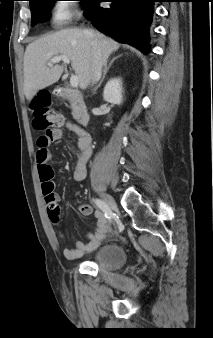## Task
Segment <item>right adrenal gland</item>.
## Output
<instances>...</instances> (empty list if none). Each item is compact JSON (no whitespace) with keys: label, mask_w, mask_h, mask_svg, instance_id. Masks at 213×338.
I'll use <instances>...</instances> for the list:
<instances>
[{"label":"right adrenal gland","mask_w":213,"mask_h":338,"mask_svg":"<svg viewBox=\"0 0 213 338\" xmlns=\"http://www.w3.org/2000/svg\"><path fill=\"white\" fill-rule=\"evenodd\" d=\"M119 57H121V55H119V56L113 58V59L110 61V63H109L108 65L105 64V66H104V71H103V76H102L101 80L99 81V83H98V84L95 86V88L93 89V93H94V94L96 93L97 89L101 86L102 82L104 81L105 76H106L108 70L110 69L111 65L113 64V62H114L117 58H119Z\"/></svg>","instance_id":"obj_1"}]
</instances>
